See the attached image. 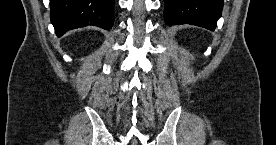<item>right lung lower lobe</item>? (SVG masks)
Listing matches in <instances>:
<instances>
[{
  "label": "right lung lower lobe",
  "instance_id": "right-lung-lower-lobe-1",
  "mask_svg": "<svg viewBox=\"0 0 276 145\" xmlns=\"http://www.w3.org/2000/svg\"><path fill=\"white\" fill-rule=\"evenodd\" d=\"M50 18L58 37L78 27L111 29L114 0H50Z\"/></svg>",
  "mask_w": 276,
  "mask_h": 145
}]
</instances>
